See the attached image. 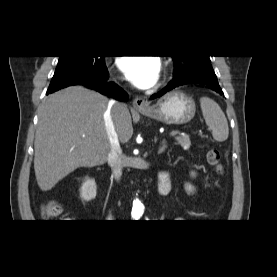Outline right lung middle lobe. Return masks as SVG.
I'll return each mask as SVG.
<instances>
[{
    "instance_id": "dd1d6c3e",
    "label": "right lung middle lobe",
    "mask_w": 277,
    "mask_h": 277,
    "mask_svg": "<svg viewBox=\"0 0 277 277\" xmlns=\"http://www.w3.org/2000/svg\"><path fill=\"white\" fill-rule=\"evenodd\" d=\"M108 76L104 56H60L48 90H58L85 80L100 83Z\"/></svg>"
}]
</instances>
